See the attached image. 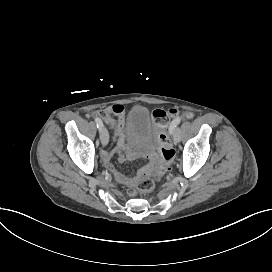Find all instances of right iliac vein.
Returning <instances> with one entry per match:
<instances>
[{"mask_svg": "<svg viewBox=\"0 0 272 272\" xmlns=\"http://www.w3.org/2000/svg\"><path fill=\"white\" fill-rule=\"evenodd\" d=\"M100 139H101V143L103 146H106L108 144L109 135H108V131L105 127H102L100 129Z\"/></svg>", "mask_w": 272, "mask_h": 272, "instance_id": "obj_1", "label": "right iliac vein"}]
</instances>
